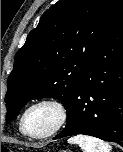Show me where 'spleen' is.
I'll use <instances>...</instances> for the list:
<instances>
[{
    "mask_svg": "<svg viewBox=\"0 0 123 152\" xmlns=\"http://www.w3.org/2000/svg\"><path fill=\"white\" fill-rule=\"evenodd\" d=\"M68 142L79 145L83 152H111V146L108 143L88 135H76Z\"/></svg>",
    "mask_w": 123,
    "mask_h": 152,
    "instance_id": "obj_1",
    "label": "spleen"
}]
</instances>
